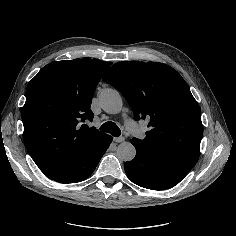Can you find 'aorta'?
<instances>
[{"label": "aorta", "instance_id": "762f6f07", "mask_svg": "<svg viewBox=\"0 0 236 236\" xmlns=\"http://www.w3.org/2000/svg\"><path fill=\"white\" fill-rule=\"evenodd\" d=\"M102 109L109 114H117L122 109V98L120 93L114 89L102 91L99 97ZM117 158L121 161H131L136 155V149L130 142H122L116 151Z\"/></svg>", "mask_w": 236, "mask_h": 236}]
</instances>
